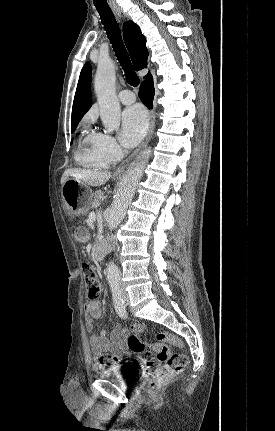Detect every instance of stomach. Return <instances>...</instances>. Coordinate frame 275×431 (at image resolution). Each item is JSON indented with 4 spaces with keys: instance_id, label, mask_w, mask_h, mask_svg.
I'll list each match as a JSON object with an SVG mask.
<instances>
[{
    "instance_id": "obj_1",
    "label": "stomach",
    "mask_w": 275,
    "mask_h": 431,
    "mask_svg": "<svg viewBox=\"0 0 275 431\" xmlns=\"http://www.w3.org/2000/svg\"><path fill=\"white\" fill-rule=\"evenodd\" d=\"M65 210L71 218H76L87 213L93 193L80 180L67 179L61 187Z\"/></svg>"
}]
</instances>
